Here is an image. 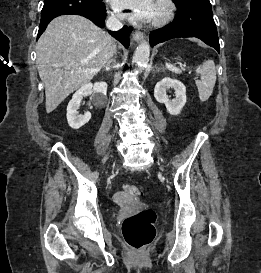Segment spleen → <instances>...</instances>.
Returning <instances> with one entry per match:
<instances>
[{
  "label": "spleen",
  "instance_id": "1",
  "mask_svg": "<svg viewBox=\"0 0 261 273\" xmlns=\"http://www.w3.org/2000/svg\"><path fill=\"white\" fill-rule=\"evenodd\" d=\"M166 67L176 74L182 73V70L170 63H166ZM196 73L200 76L199 80H195L199 98L202 102H205L212 95L216 83V67L214 61L207 60L203 62L202 65L196 68Z\"/></svg>",
  "mask_w": 261,
  "mask_h": 273
}]
</instances>
